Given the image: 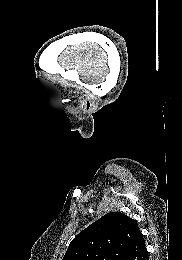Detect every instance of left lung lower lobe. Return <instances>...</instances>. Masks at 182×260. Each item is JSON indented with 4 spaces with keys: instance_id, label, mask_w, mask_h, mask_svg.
I'll return each mask as SVG.
<instances>
[{
    "instance_id": "0a47b994",
    "label": "left lung lower lobe",
    "mask_w": 182,
    "mask_h": 260,
    "mask_svg": "<svg viewBox=\"0 0 182 260\" xmlns=\"http://www.w3.org/2000/svg\"><path fill=\"white\" fill-rule=\"evenodd\" d=\"M122 260H149L148 251L141 232L135 238Z\"/></svg>"
}]
</instances>
